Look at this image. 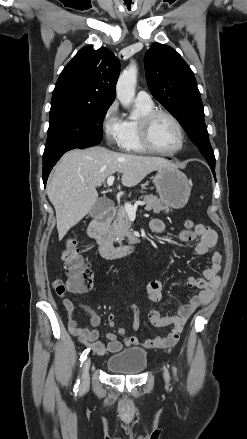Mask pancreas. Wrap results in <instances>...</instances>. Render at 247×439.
Masks as SVG:
<instances>
[{
	"instance_id": "1",
	"label": "pancreas",
	"mask_w": 247,
	"mask_h": 439,
	"mask_svg": "<svg viewBox=\"0 0 247 439\" xmlns=\"http://www.w3.org/2000/svg\"><path fill=\"white\" fill-rule=\"evenodd\" d=\"M144 203L146 204L145 209L147 211L152 210L155 214H159L161 211L169 213L170 208L164 206L160 199L153 195L141 196ZM131 225L129 222L128 214L125 207H120L117 211L114 222L109 226L108 234L113 242H117L122 245V241L125 237L131 240L133 235L131 234Z\"/></svg>"
}]
</instances>
